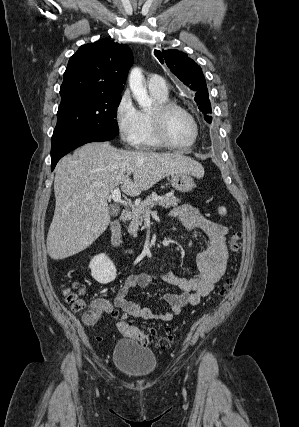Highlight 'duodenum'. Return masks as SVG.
I'll list each match as a JSON object with an SVG mask.
<instances>
[{
  "mask_svg": "<svg viewBox=\"0 0 299 427\" xmlns=\"http://www.w3.org/2000/svg\"><path fill=\"white\" fill-rule=\"evenodd\" d=\"M130 219V212L128 210H123L116 222L112 225V242L113 245L122 251L124 254H129L130 251L126 247L123 238L122 226Z\"/></svg>",
  "mask_w": 299,
  "mask_h": 427,
  "instance_id": "duodenum-1",
  "label": "duodenum"
}]
</instances>
